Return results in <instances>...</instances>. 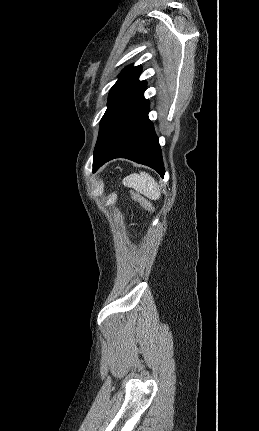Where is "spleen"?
I'll use <instances>...</instances> for the list:
<instances>
[{"instance_id":"spleen-1","label":"spleen","mask_w":259,"mask_h":431,"mask_svg":"<svg viewBox=\"0 0 259 431\" xmlns=\"http://www.w3.org/2000/svg\"><path fill=\"white\" fill-rule=\"evenodd\" d=\"M126 187L133 188L150 200H158L161 195L160 188L155 179L146 172L133 173L123 179Z\"/></svg>"}]
</instances>
